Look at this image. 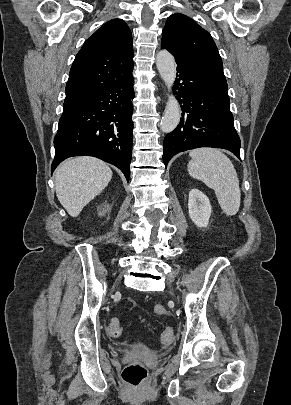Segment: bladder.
Instances as JSON below:
<instances>
[{
	"mask_svg": "<svg viewBox=\"0 0 291 405\" xmlns=\"http://www.w3.org/2000/svg\"><path fill=\"white\" fill-rule=\"evenodd\" d=\"M134 350L137 352H147L148 349L145 346L142 345H137L134 347Z\"/></svg>",
	"mask_w": 291,
	"mask_h": 405,
	"instance_id": "bladder-1",
	"label": "bladder"
}]
</instances>
